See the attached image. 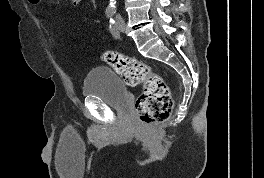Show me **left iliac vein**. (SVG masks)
Masks as SVG:
<instances>
[{
	"mask_svg": "<svg viewBox=\"0 0 264 178\" xmlns=\"http://www.w3.org/2000/svg\"><path fill=\"white\" fill-rule=\"evenodd\" d=\"M116 26H117L118 31L120 32H123L125 30V22L121 16H118L116 18Z\"/></svg>",
	"mask_w": 264,
	"mask_h": 178,
	"instance_id": "4c4485c4",
	"label": "left iliac vein"
}]
</instances>
